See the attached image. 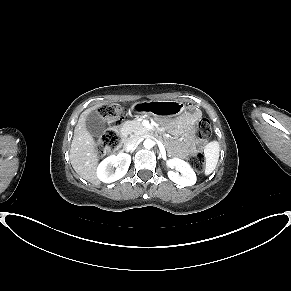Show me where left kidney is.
Returning a JSON list of instances; mask_svg holds the SVG:
<instances>
[{
    "instance_id": "obj_1",
    "label": "left kidney",
    "mask_w": 291,
    "mask_h": 291,
    "mask_svg": "<svg viewBox=\"0 0 291 291\" xmlns=\"http://www.w3.org/2000/svg\"><path fill=\"white\" fill-rule=\"evenodd\" d=\"M168 168H176L178 172L168 171V177L174 183L181 186H192L196 183L197 178L194 170L184 160L173 158L166 162ZM180 172V173H179Z\"/></svg>"
}]
</instances>
